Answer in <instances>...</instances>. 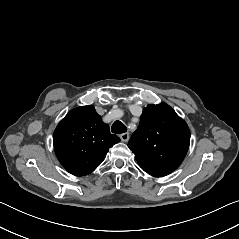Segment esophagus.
<instances>
[{"instance_id":"esophagus-1","label":"esophagus","mask_w":239,"mask_h":239,"mask_svg":"<svg viewBox=\"0 0 239 239\" xmlns=\"http://www.w3.org/2000/svg\"><path fill=\"white\" fill-rule=\"evenodd\" d=\"M119 137L123 142H127L129 140V133L128 132L122 133L119 135Z\"/></svg>"}]
</instances>
